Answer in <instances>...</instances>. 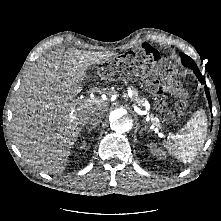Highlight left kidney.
Returning a JSON list of instances; mask_svg holds the SVG:
<instances>
[{
  "mask_svg": "<svg viewBox=\"0 0 221 221\" xmlns=\"http://www.w3.org/2000/svg\"><path fill=\"white\" fill-rule=\"evenodd\" d=\"M149 148H150L151 153L154 156H156V157H158L160 159L164 158L165 153H164V151L162 149H160V148H158V147H156L155 145H152V144L149 145Z\"/></svg>",
  "mask_w": 221,
  "mask_h": 221,
  "instance_id": "1",
  "label": "left kidney"
}]
</instances>
